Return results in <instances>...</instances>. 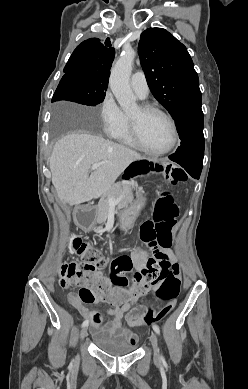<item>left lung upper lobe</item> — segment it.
I'll return each mask as SVG.
<instances>
[{
    "label": "left lung upper lobe",
    "mask_w": 248,
    "mask_h": 389,
    "mask_svg": "<svg viewBox=\"0 0 248 389\" xmlns=\"http://www.w3.org/2000/svg\"><path fill=\"white\" fill-rule=\"evenodd\" d=\"M138 51L153 96L173 118L185 106L201 101L193 61L172 34L162 28H149L141 34Z\"/></svg>",
    "instance_id": "5c2ea615"
}]
</instances>
